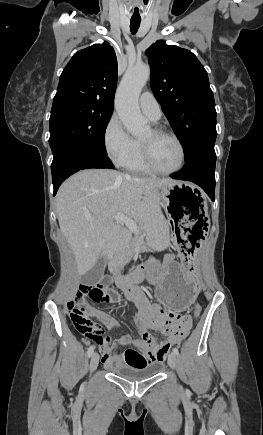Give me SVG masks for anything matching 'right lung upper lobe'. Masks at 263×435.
I'll list each match as a JSON object with an SVG mask.
<instances>
[{
	"mask_svg": "<svg viewBox=\"0 0 263 435\" xmlns=\"http://www.w3.org/2000/svg\"><path fill=\"white\" fill-rule=\"evenodd\" d=\"M117 58L104 42L76 52L61 73L53 106L89 102L114 107Z\"/></svg>",
	"mask_w": 263,
	"mask_h": 435,
	"instance_id": "obj_1",
	"label": "right lung upper lobe"
}]
</instances>
